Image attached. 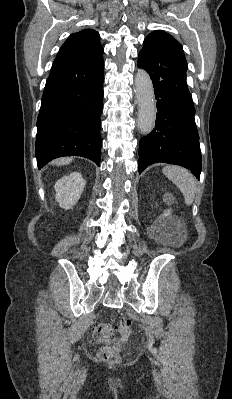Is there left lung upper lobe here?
Returning <instances> with one entry per match:
<instances>
[{
    "label": "left lung upper lobe",
    "mask_w": 232,
    "mask_h": 399,
    "mask_svg": "<svg viewBox=\"0 0 232 399\" xmlns=\"http://www.w3.org/2000/svg\"><path fill=\"white\" fill-rule=\"evenodd\" d=\"M160 43L170 48L187 66L185 55L181 44L171 35L163 31H154L150 33L144 40V43Z\"/></svg>",
    "instance_id": "5c2ea615"
}]
</instances>
